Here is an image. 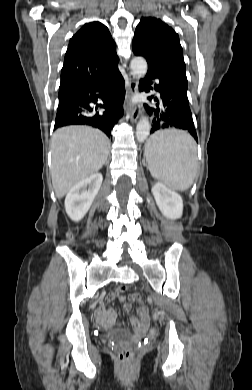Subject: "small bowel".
<instances>
[{
  "mask_svg": "<svg viewBox=\"0 0 252 390\" xmlns=\"http://www.w3.org/2000/svg\"><path fill=\"white\" fill-rule=\"evenodd\" d=\"M118 298L122 301L125 300V296L122 294V291L111 292L107 296V301L110 302ZM125 311L128 313L129 324L132 327L136 335H144L149 328V311L148 308L142 305L137 314L131 312V305L126 304L124 307ZM96 316L98 320L105 324H111L116 321L117 313L115 310L101 306L98 308Z\"/></svg>",
  "mask_w": 252,
  "mask_h": 390,
  "instance_id": "1",
  "label": "small bowel"
}]
</instances>
